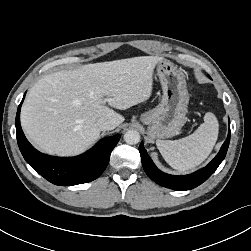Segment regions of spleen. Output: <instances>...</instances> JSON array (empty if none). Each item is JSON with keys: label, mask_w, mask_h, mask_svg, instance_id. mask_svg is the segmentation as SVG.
Instances as JSON below:
<instances>
[{"label": "spleen", "mask_w": 251, "mask_h": 251, "mask_svg": "<svg viewBox=\"0 0 251 251\" xmlns=\"http://www.w3.org/2000/svg\"><path fill=\"white\" fill-rule=\"evenodd\" d=\"M219 133L216 116L207 112L196 131L179 140H157L164 160L174 169L184 172L200 165L212 152Z\"/></svg>", "instance_id": "obj_1"}]
</instances>
